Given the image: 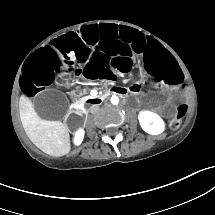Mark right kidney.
Segmentation results:
<instances>
[{"instance_id":"right-kidney-1","label":"right kidney","mask_w":215,"mask_h":215,"mask_svg":"<svg viewBox=\"0 0 215 215\" xmlns=\"http://www.w3.org/2000/svg\"><path fill=\"white\" fill-rule=\"evenodd\" d=\"M84 138V130L80 129L76 132L74 137V143L75 145H80Z\"/></svg>"}]
</instances>
